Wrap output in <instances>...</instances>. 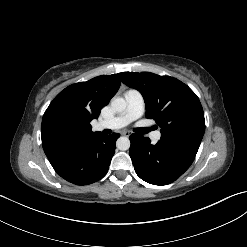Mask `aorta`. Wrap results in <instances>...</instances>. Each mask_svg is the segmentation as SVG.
<instances>
[{"label":"aorta","mask_w":247,"mask_h":247,"mask_svg":"<svg viewBox=\"0 0 247 247\" xmlns=\"http://www.w3.org/2000/svg\"><path fill=\"white\" fill-rule=\"evenodd\" d=\"M127 103L122 97H114L111 100V107L116 112H122L126 109ZM116 146L119 150L125 151L130 148V140L128 137H119L116 142Z\"/></svg>","instance_id":"obj_1"}]
</instances>
